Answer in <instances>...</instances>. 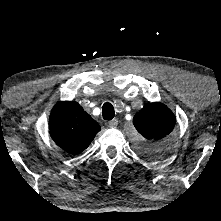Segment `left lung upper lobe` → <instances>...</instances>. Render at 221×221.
<instances>
[{
  "instance_id": "1",
  "label": "left lung upper lobe",
  "mask_w": 221,
  "mask_h": 221,
  "mask_svg": "<svg viewBox=\"0 0 221 221\" xmlns=\"http://www.w3.org/2000/svg\"><path fill=\"white\" fill-rule=\"evenodd\" d=\"M175 115L160 102L147 103L133 118L137 130L136 149L149 159H161L168 151L169 134L175 125Z\"/></svg>"
}]
</instances>
